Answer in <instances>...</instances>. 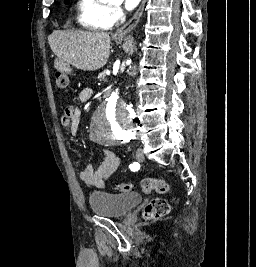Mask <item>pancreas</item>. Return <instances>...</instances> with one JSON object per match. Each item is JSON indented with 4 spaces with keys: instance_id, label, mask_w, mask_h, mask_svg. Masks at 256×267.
I'll list each match as a JSON object with an SVG mask.
<instances>
[{
    "instance_id": "1",
    "label": "pancreas",
    "mask_w": 256,
    "mask_h": 267,
    "mask_svg": "<svg viewBox=\"0 0 256 267\" xmlns=\"http://www.w3.org/2000/svg\"><path fill=\"white\" fill-rule=\"evenodd\" d=\"M106 74H100L99 78H105Z\"/></svg>"
}]
</instances>
